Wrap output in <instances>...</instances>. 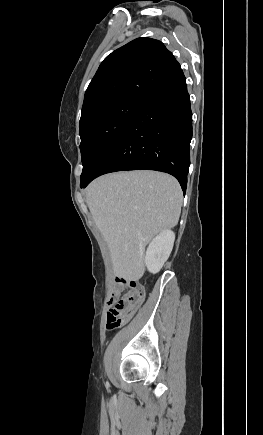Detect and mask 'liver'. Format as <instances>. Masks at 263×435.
<instances>
[{"instance_id": "liver-1", "label": "liver", "mask_w": 263, "mask_h": 435, "mask_svg": "<svg viewBox=\"0 0 263 435\" xmlns=\"http://www.w3.org/2000/svg\"><path fill=\"white\" fill-rule=\"evenodd\" d=\"M182 190L171 175L155 171L106 174L86 190V203L111 255L114 275L139 280L146 245L178 223Z\"/></svg>"}]
</instances>
